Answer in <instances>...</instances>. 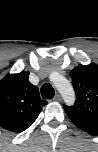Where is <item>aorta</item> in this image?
<instances>
[{"label": "aorta", "mask_w": 98, "mask_h": 152, "mask_svg": "<svg viewBox=\"0 0 98 152\" xmlns=\"http://www.w3.org/2000/svg\"><path fill=\"white\" fill-rule=\"evenodd\" d=\"M52 81L62 95L64 101L68 105H72L75 101V94L71 83L64 76L59 74H56Z\"/></svg>", "instance_id": "aorta-1"}]
</instances>
